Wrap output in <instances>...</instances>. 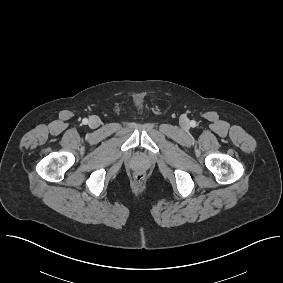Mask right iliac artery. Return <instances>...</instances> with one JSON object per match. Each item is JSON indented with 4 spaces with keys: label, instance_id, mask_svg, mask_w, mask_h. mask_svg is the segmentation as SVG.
<instances>
[{
    "label": "right iliac artery",
    "instance_id": "1",
    "mask_svg": "<svg viewBox=\"0 0 283 283\" xmlns=\"http://www.w3.org/2000/svg\"><path fill=\"white\" fill-rule=\"evenodd\" d=\"M82 122H83V124L86 125V124L88 123V119H87V118H84Z\"/></svg>",
    "mask_w": 283,
    "mask_h": 283
}]
</instances>
